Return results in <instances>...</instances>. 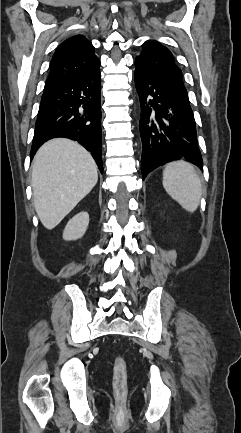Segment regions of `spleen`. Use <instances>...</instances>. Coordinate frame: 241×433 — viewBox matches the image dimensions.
Segmentation results:
<instances>
[{
    "label": "spleen",
    "instance_id": "obj_1",
    "mask_svg": "<svg viewBox=\"0 0 241 433\" xmlns=\"http://www.w3.org/2000/svg\"><path fill=\"white\" fill-rule=\"evenodd\" d=\"M163 187L183 209L191 213L197 210L202 185L192 164L183 160L167 164L163 171Z\"/></svg>",
    "mask_w": 241,
    "mask_h": 433
}]
</instances>
